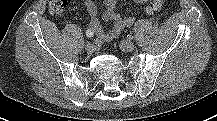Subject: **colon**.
Wrapping results in <instances>:
<instances>
[{
	"mask_svg": "<svg viewBox=\"0 0 217 121\" xmlns=\"http://www.w3.org/2000/svg\"><path fill=\"white\" fill-rule=\"evenodd\" d=\"M67 6V0H52L49 4V10L52 14H61Z\"/></svg>",
	"mask_w": 217,
	"mask_h": 121,
	"instance_id": "5ec220e1",
	"label": "colon"
}]
</instances>
